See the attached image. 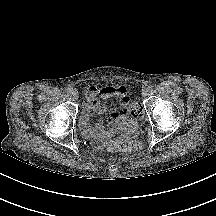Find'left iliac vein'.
I'll list each match as a JSON object with an SVG mask.
<instances>
[{
	"mask_svg": "<svg viewBox=\"0 0 216 216\" xmlns=\"http://www.w3.org/2000/svg\"><path fill=\"white\" fill-rule=\"evenodd\" d=\"M149 95V90H144L143 92H142V96L143 97H147Z\"/></svg>",
	"mask_w": 216,
	"mask_h": 216,
	"instance_id": "obj_1",
	"label": "left iliac vein"
}]
</instances>
